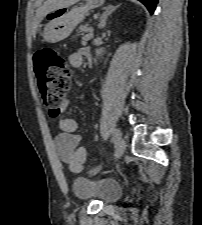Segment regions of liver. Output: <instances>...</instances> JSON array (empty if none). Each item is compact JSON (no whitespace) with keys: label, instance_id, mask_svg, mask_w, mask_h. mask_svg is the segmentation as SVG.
Listing matches in <instances>:
<instances>
[{"label":"liver","instance_id":"obj_1","mask_svg":"<svg viewBox=\"0 0 202 225\" xmlns=\"http://www.w3.org/2000/svg\"><path fill=\"white\" fill-rule=\"evenodd\" d=\"M79 0H46L44 4L37 10L35 21L33 24V36L35 37L40 22L46 17L48 13H51L60 8H67Z\"/></svg>","mask_w":202,"mask_h":225}]
</instances>
